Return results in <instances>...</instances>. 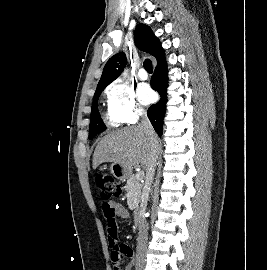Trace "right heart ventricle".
Listing matches in <instances>:
<instances>
[{
    "label": "right heart ventricle",
    "instance_id": "1",
    "mask_svg": "<svg viewBox=\"0 0 267 270\" xmlns=\"http://www.w3.org/2000/svg\"><path fill=\"white\" fill-rule=\"evenodd\" d=\"M106 120H107L108 124L111 125V126H113V127H116V126H118L120 124L110 114L107 115Z\"/></svg>",
    "mask_w": 267,
    "mask_h": 270
}]
</instances>
